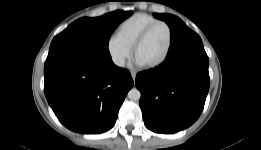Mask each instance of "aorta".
<instances>
[{
  "mask_svg": "<svg viewBox=\"0 0 261 150\" xmlns=\"http://www.w3.org/2000/svg\"><path fill=\"white\" fill-rule=\"evenodd\" d=\"M128 98L132 101H138L141 97V93L138 89L136 88H132L129 92H128Z\"/></svg>",
  "mask_w": 261,
  "mask_h": 150,
  "instance_id": "aorta-1",
  "label": "aorta"
}]
</instances>
